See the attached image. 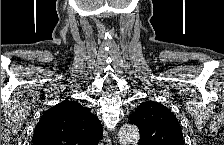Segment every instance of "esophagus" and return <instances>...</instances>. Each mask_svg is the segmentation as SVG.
I'll return each instance as SVG.
<instances>
[{"label": "esophagus", "mask_w": 224, "mask_h": 145, "mask_svg": "<svg viewBox=\"0 0 224 145\" xmlns=\"http://www.w3.org/2000/svg\"><path fill=\"white\" fill-rule=\"evenodd\" d=\"M104 136H105V140H106V142H107L108 144H110V143H111V139H110V137H109L107 131L104 132Z\"/></svg>", "instance_id": "1"}]
</instances>
